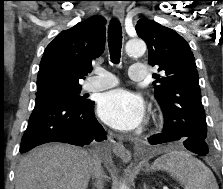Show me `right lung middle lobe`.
<instances>
[{
  "label": "right lung middle lobe",
  "instance_id": "obj_1",
  "mask_svg": "<svg viewBox=\"0 0 223 189\" xmlns=\"http://www.w3.org/2000/svg\"><path fill=\"white\" fill-rule=\"evenodd\" d=\"M81 87L76 88H56L43 92H37L36 98H55L66 100L78 105H83L87 102L80 94Z\"/></svg>",
  "mask_w": 223,
  "mask_h": 189
}]
</instances>
